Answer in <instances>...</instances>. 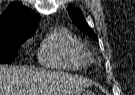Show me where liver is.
I'll return each mask as SVG.
<instances>
[{
	"mask_svg": "<svg viewBox=\"0 0 135 95\" xmlns=\"http://www.w3.org/2000/svg\"><path fill=\"white\" fill-rule=\"evenodd\" d=\"M89 82L63 72L0 65V95L78 94Z\"/></svg>",
	"mask_w": 135,
	"mask_h": 95,
	"instance_id": "1",
	"label": "liver"
}]
</instances>
